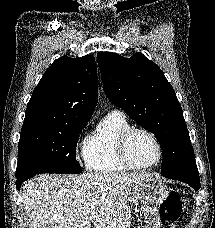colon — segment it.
Returning <instances> with one entry per match:
<instances>
[{"mask_svg":"<svg viewBox=\"0 0 215 228\" xmlns=\"http://www.w3.org/2000/svg\"><path fill=\"white\" fill-rule=\"evenodd\" d=\"M182 212V201L177 192H171L161 203L159 215L162 225L165 228H173L178 222Z\"/></svg>","mask_w":215,"mask_h":228,"instance_id":"1","label":"colon"}]
</instances>
